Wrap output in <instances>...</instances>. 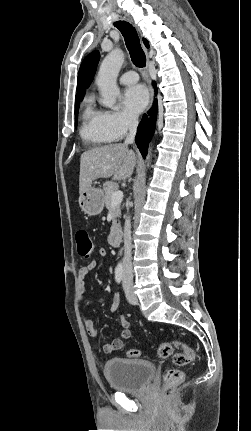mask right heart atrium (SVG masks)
<instances>
[{"label":"right heart atrium","instance_id":"right-heart-atrium-1","mask_svg":"<svg viewBox=\"0 0 251 431\" xmlns=\"http://www.w3.org/2000/svg\"><path fill=\"white\" fill-rule=\"evenodd\" d=\"M104 124L108 132L120 139L137 126V118L124 110L103 111Z\"/></svg>","mask_w":251,"mask_h":431}]
</instances>
